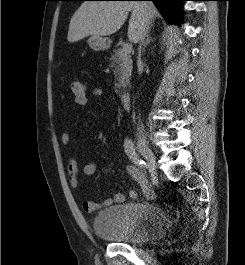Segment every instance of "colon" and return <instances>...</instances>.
<instances>
[{"mask_svg": "<svg viewBox=\"0 0 245 265\" xmlns=\"http://www.w3.org/2000/svg\"><path fill=\"white\" fill-rule=\"evenodd\" d=\"M70 93L73 101L78 106H85L88 103V94L86 86L79 80H73L70 83Z\"/></svg>", "mask_w": 245, "mask_h": 265, "instance_id": "obj_1", "label": "colon"}]
</instances>
